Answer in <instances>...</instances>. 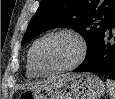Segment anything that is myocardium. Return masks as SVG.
<instances>
[{"instance_id": "f54148a6", "label": "myocardium", "mask_w": 115, "mask_h": 99, "mask_svg": "<svg viewBox=\"0 0 115 99\" xmlns=\"http://www.w3.org/2000/svg\"><path fill=\"white\" fill-rule=\"evenodd\" d=\"M59 35L70 36L77 42L78 47H79L78 55L73 62H71L70 64H68L66 66L57 68L52 71H44L36 63L35 50H36L38 44L41 43L42 41H44L45 39L53 37V36H59ZM87 53H88V45H87L85 38L75 30L63 28V29L49 31V32L45 33L44 35H42L41 37H39L32 44V46L30 48L29 60H30V64H31L33 70L38 75L44 76V77H50V76H54V75H57V74H60L63 72H67V71L77 68L80 64L83 63V61L85 60V58L87 56Z\"/></svg>"}]
</instances>
